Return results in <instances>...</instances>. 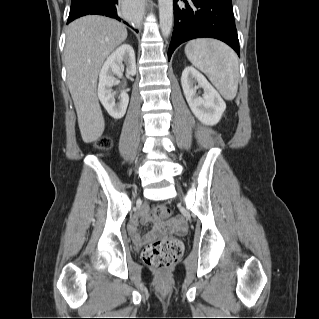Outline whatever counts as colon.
Listing matches in <instances>:
<instances>
[{"label": "colon", "instance_id": "1", "mask_svg": "<svg viewBox=\"0 0 319 319\" xmlns=\"http://www.w3.org/2000/svg\"><path fill=\"white\" fill-rule=\"evenodd\" d=\"M97 145L101 149H107L111 146V141L104 138ZM150 215L157 220H168L172 217V212L165 205H156L152 208ZM183 249L181 240L164 238L146 245L142 252V259L148 267L163 273L181 258Z\"/></svg>", "mask_w": 319, "mask_h": 319}]
</instances>
